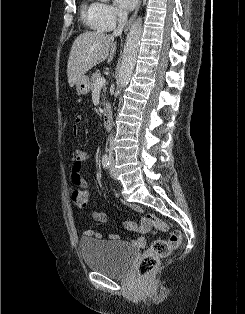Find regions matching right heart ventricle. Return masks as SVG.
<instances>
[{"label": "right heart ventricle", "mask_w": 245, "mask_h": 314, "mask_svg": "<svg viewBox=\"0 0 245 314\" xmlns=\"http://www.w3.org/2000/svg\"><path fill=\"white\" fill-rule=\"evenodd\" d=\"M81 15H82L83 21L87 25L98 30V28L96 27L94 4L83 3L81 7Z\"/></svg>", "instance_id": "1"}]
</instances>
